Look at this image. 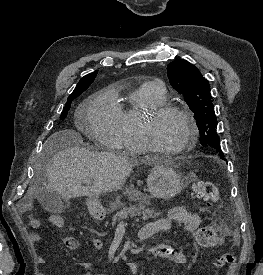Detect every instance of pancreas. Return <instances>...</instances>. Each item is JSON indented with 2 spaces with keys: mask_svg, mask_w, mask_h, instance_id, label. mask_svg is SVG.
I'll use <instances>...</instances> for the list:
<instances>
[{
  "mask_svg": "<svg viewBox=\"0 0 263 275\" xmlns=\"http://www.w3.org/2000/svg\"><path fill=\"white\" fill-rule=\"evenodd\" d=\"M128 198L131 201L137 202L136 205H130L129 207L125 204H121L123 207L118 211L112 218V225L116 222L130 217L141 216L143 220H148L149 218H156L160 215V212H156L153 209L148 208L150 204V196L141 193L140 191H133L128 194Z\"/></svg>",
  "mask_w": 263,
  "mask_h": 275,
  "instance_id": "cf45deb5",
  "label": "pancreas"
}]
</instances>
